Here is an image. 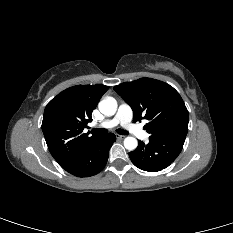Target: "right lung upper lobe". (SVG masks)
<instances>
[{
    "instance_id": "cb5924a9",
    "label": "right lung upper lobe",
    "mask_w": 233,
    "mask_h": 233,
    "mask_svg": "<svg viewBox=\"0 0 233 233\" xmlns=\"http://www.w3.org/2000/svg\"><path fill=\"white\" fill-rule=\"evenodd\" d=\"M105 85H76L70 87L46 106L42 131L47 146L61 167L75 160L98 137L83 133L98 101L108 90Z\"/></svg>"
}]
</instances>
